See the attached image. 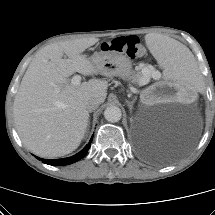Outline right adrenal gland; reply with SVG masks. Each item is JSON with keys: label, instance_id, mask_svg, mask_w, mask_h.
Wrapping results in <instances>:
<instances>
[{"label": "right adrenal gland", "instance_id": "2a0ac1e0", "mask_svg": "<svg viewBox=\"0 0 215 215\" xmlns=\"http://www.w3.org/2000/svg\"><path fill=\"white\" fill-rule=\"evenodd\" d=\"M90 122L88 121V127H89Z\"/></svg>", "mask_w": 215, "mask_h": 215}]
</instances>
